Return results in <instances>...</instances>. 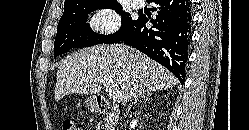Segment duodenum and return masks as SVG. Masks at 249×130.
Returning <instances> with one entry per match:
<instances>
[{
    "mask_svg": "<svg viewBox=\"0 0 249 130\" xmlns=\"http://www.w3.org/2000/svg\"><path fill=\"white\" fill-rule=\"evenodd\" d=\"M97 108H98V111L102 114L109 115L113 118L117 117V114H118L117 108L110 101H108L105 97L97 98Z\"/></svg>",
    "mask_w": 249,
    "mask_h": 130,
    "instance_id": "410a0bca",
    "label": "duodenum"
}]
</instances>
